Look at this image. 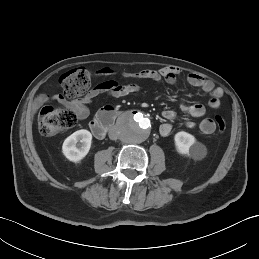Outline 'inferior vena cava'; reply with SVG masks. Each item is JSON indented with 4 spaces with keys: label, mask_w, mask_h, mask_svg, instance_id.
Segmentation results:
<instances>
[{
    "label": "inferior vena cava",
    "mask_w": 259,
    "mask_h": 259,
    "mask_svg": "<svg viewBox=\"0 0 259 259\" xmlns=\"http://www.w3.org/2000/svg\"><path fill=\"white\" fill-rule=\"evenodd\" d=\"M109 138L112 140H116L118 138V135L114 129L109 131Z\"/></svg>",
    "instance_id": "obj_1"
}]
</instances>
